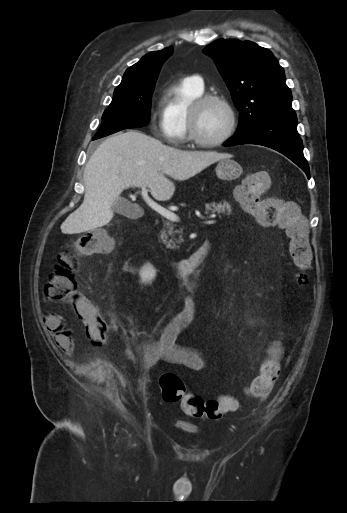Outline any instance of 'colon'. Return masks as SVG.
<instances>
[{"mask_svg": "<svg viewBox=\"0 0 347 513\" xmlns=\"http://www.w3.org/2000/svg\"><path fill=\"white\" fill-rule=\"evenodd\" d=\"M264 174L250 173L237 185V197L244 210L253 214L259 224L265 227L276 226L285 231L289 239V251L297 269L296 281L300 286L307 282V274L312 251L308 239L305 221L297 206L292 202L263 198V190L268 186ZM113 247V238L104 230L84 233L76 242L73 251L63 252L58 256L52 271L48 275L44 291L47 297L65 302L75 308V315L80 317V324L87 328L91 343L103 346L107 342L106 325L94 300H85L78 292L75 274L79 255H92L108 252ZM268 356L260 366V373L248 385V393L255 398L264 399L280 373V363L284 349L277 341L265 345ZM162 398L167 403H180L184 413L190 417L220 419L224 414L237 408L236 400L229 395L217 399L205 400L188 393L180 376L166 372L160 376Z\"/></svg>", "mask_w": 347, "mask_h": 513, "instance_id": "5ec220e1", "label": "colon"}]
</instances>
